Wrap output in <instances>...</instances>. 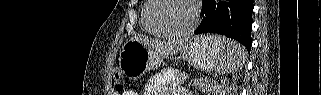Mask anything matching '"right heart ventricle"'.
<instances>
[{
    "instance_id": "1",
    "label": "right heart ventricle",
    "mask_w": 321,
    "mask_h": 95,
    "mask_svg": "<svg viewBox=\"0 0 321 95\" xmlns=\"http://www.w3.org/2000/svg\"><path fill=\"white\" fill-rule=\"evenodd\" d=\"M147 5H148V1L146 2V5H145L144 10H143V13H142V23H143V26H144L145 30H146L147 32H149L150 34L158 35V34L154 33L153 31H151V30L148 28V26L146 25V22H145V19H144V12H145V9H146ZM158 36H160V35H158Z\"/></svg>"
}]
</instances>
